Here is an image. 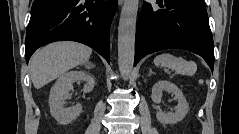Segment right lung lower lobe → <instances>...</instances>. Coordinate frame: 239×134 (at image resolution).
<instances>
[{"mask_svg":"<svg viewBox=\"0 0 239 134\" xmlns=\"http://www.w3.org/2000/svg\"><path fill=\"white\" fill-rule=\"evenodd\" d=\"M117 0H34L25 40V58L54 41L88 45L110 62V24Z\"/></svg>","mask_w":239,"mask_h":134,"instance_id":"obj_1","label":"right lung lower lobe"}]
</instances>
